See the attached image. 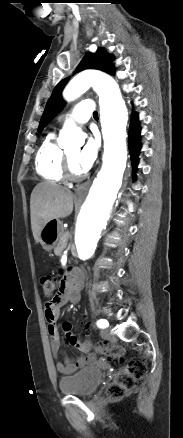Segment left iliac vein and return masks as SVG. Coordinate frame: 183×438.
<instances>
[{
    "mask_svg": "<svg viewBox=\"0 0 183 438\" xmlns=\"http://www.w3.org/2000/svg\"><path fill=\"white\" fill-rule=\"evenodd\" d=\"M101 337L105 340H113L114 337L110 334L108 329H104L101 331Z\"/></svg>",
    "mask_w": 183,
    "mask_h": 438,
    "instance_id": "1",
    "label": "left iliac vein"
}]
</instances>
